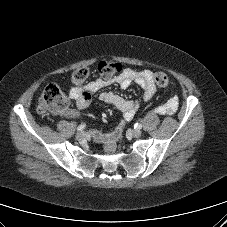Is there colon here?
I'll list each match as a JSON object with an SVG mask.
<instances>
[{
  "label": "colon",
  "instance_id": "colon-1",
  "mask_svg": "<svg viewBox=\"0 0 227 227\" xmlns=\"http://www.w3.org/2000/svg\"><path fill=\"white\" fill-rule=\"evenodd\" d=\"M123 70L120 63L105 60L97 65V71L101 78L110 79ZM89 76L87 68H79L71 75V82L75 86H81ZM154 82L159 87H166L169 84V78L164 72H155L153 75ZM69 99L66 94L55 84H49L43 90L37 105V110L41 114L61 115L67 111Z\"/></svg>",
  "mask_w": 227,
  "mask_h": 227
}]
</instances>
